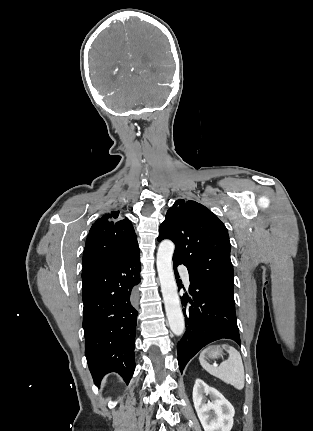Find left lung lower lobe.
<instances>
[{
	"instance_id": "0a47b994",
	"label": "left lung lower lobe",
	"mask_w": 313,
	"mask_h": 431,
	"mask_svg": "<svg viewBox=\"0 0 313 431\" xmlns=\"http://www.w3.org/2000/svg\"><path fill=\"white\" fill-rule=\"evenodd\" d=\"M174 262L175 276L178 279ZM188 296L182 297V304L192 307L183 309L186 331L177 344L178 364L182 373L188 361L204 346L222 338L241 344L236 321L234 295L232 291L210 284L193 281L190 277ZM179 288L180 285L178 284Z\"/></svg>"
}]
</instances>
